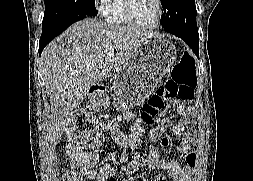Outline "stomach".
<instances>
[{
  "label": "stomach",
  "mask_w": 253,
  "mask_h": 181,
  "mask_svg": "<svg viewBox=\"0 0 253 181\" xmlns=\"http://www.w3.org/2000/svg\"><path fill=\"white\" fill-rule=\"evenodd\" d=\"M175 45L164 39H147L113 76V105L125 111L142 103L161 82L177 58ZM93 102L105 105L108 99L95 94Z\"/></svg>",
  "instance_id": "stomach-1"
}]
</instances>
